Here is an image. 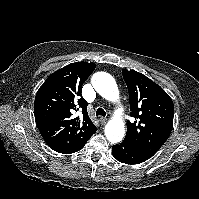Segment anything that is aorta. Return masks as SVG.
Instances as JSON below:
<instances>
[{"mask_svg":"<svg viewBox=\"0 0 199 199\" xmlns=\"http://www.w3.org/2000/svg\"><path fill=\"white\" fill-rule=\"evenodd\" d=\"M92 85L102 97L109 101L119 98V91L114 78L106 72H97L92 76ZM125 134L124 122L119 117L111 119L105 127V136L113 144L120 142Z\"/></svg>","mask_w":199,"mask_h":199,"instance_id":"obj_1","label":"aorta"}]
</instances>
